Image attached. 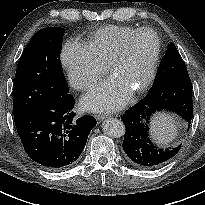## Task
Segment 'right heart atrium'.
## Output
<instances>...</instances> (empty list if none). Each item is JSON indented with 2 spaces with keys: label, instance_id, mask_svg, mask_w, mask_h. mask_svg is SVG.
Segmentation results:
<instances>
[{
  "label": "right heart atrium",
  "instance_id": "1",
  "mask_svg": "<svg viewBox=\"0 0 205 205\" xmlns=\"http://www.w3.org/2000/svg\"><path fill=\"white\" fill-rule=\"evenodd\" d=\"M61 63L71 85L80 91L91 89L107 70L87 45L75 39L65 43L61 53Z\"/></svg>",
  "mask_w": 205,
  "mask_h": 205
}]
</instances>
